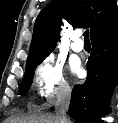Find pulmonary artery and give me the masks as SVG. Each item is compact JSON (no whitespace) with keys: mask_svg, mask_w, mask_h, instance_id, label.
Returning <instances> with one entry per match:
<instances>
[{"mask_svg":"<svg viewBox=\"0 0 118 123\" xmlns=\"http://www.w3.org/2000/svg\"><path fill=\"white\" fill-rule=\"evenodd\" d=\"M80 33L79 32H76L74 34V37L72 39V42H71V49L74 51V52H82L83 49H84V43L83 41L81 40L80 38Z\"/></svg>","mask_w":118,"mask_h":123,"instance_id":"obj_1","label":"pulmonary artery"}]
</instances>
